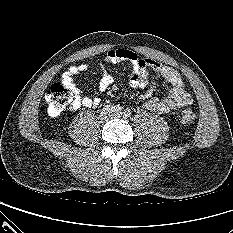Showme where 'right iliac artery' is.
I'll return each instance as SVG.
<instances>
[{
	"instance_id": "1",
	"label": "right iliac artery",
	"mask_w": 233,
	"mask_h": 233,
	"mask_svg": "<svg viewBox=\"0 0 233 233\" xmlns=\"http://www.w3.org/2000/svg\"><path fill=\"white\" fill-rule=\"evenodd\" d=\"M114 110H115L116 112H121L122 107H121L120 105H116V106L114 107Z\"/></svg>"
}]
</instances>
